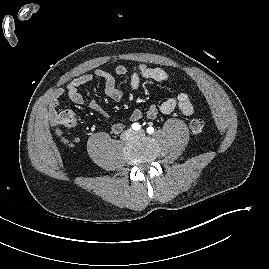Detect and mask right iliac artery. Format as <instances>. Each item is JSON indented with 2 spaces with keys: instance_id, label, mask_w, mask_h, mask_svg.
Segmentation results:
<instances>
[{
  "instance_id": "obj_1",
  "label": "right iliac artery",
  "mask_w": 269,
  "mask_h": 269,
  "mask_svg": "<svg viewBox=\"0 0 269 269\" xmlns=\"http://www.w3.org/2000/svg\"><path fill=\"white\" fill-rule=\"evenodd\" d=\"M132 129L138 131V130L141 129V126L138 123H133L132 124Z\"/></svg>"
}]
</instances>
